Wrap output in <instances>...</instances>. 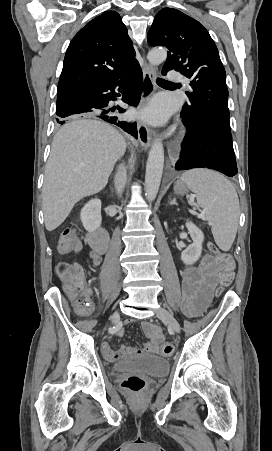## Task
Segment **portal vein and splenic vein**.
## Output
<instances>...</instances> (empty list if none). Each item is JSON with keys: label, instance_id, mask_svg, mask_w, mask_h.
I'll use <instances>...</instances> for the list:
<instances>
[{"label": "portal vein and splenic vein", "instance_id": "obj_1", "mask_svg": "<svg viewBox=\"0 0 272 451\" xmlns=\"http://www.w3.org/2000/svg\"><path fill=\"white\" fill-rule=\"evenodd\" d=\"M191 198H195V196H191ZM198 218H203L202 214L201 216H198Z\"/></svg>", "mask_w": 272, "mask_h": 451}]
</instances>
